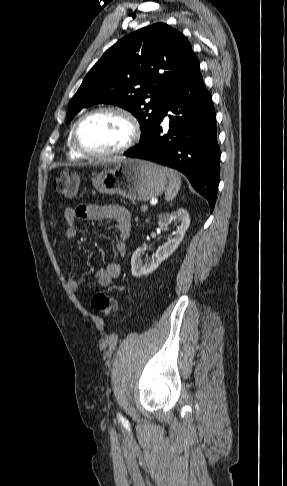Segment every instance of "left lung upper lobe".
Segmentation results:
<instances>
[{"mask_svg": "<svg viewBox=\"0 0 287 486\" xmlns=\"http://www.w3.org/2000/svg\"><path fill=\"white\" fill-rule=\"evenodd\" d=\"M199 64L188 40L165 23L141 28L109 48L70 100L67 123L82 108L109 103L130 111L141 138L158 120L168 91Z\"/></svg>", "mask_w": 287, "mask_h": 486, "instance_id": "1", "label": "left lung upper lobe"}]
</instances>
